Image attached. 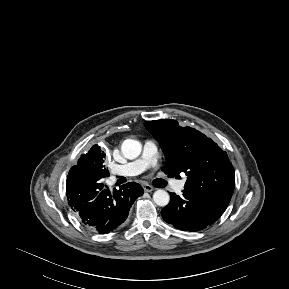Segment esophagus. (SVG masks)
Listing matches in <instances>:
<instances>
[{"label": "esophagus", "mask_w": 289, "mask_h": 289, "mask_svg": "<svg viewBox=\"0 0 289 289\" xmlns=\"http://www.w3.org/2000/svg\"><path fill=\"white\" fill-rule=\"evenodd\" d=\"M143 189L146 192H152L154 190V187H152L151 185H148V184H144Z\"/></svg>", "instance_id": "1"}]
</instances>
